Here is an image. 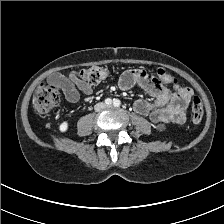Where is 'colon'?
<instances>
[{"label":"colon","mask_w":224,"mask_h":224,"mask_svg":"<svg viewBox=\"0 0 224 224\" xmlns=\"http://www.w3.org/2000/svg\"><path fill=\"white\" fill-rule=\"evenodd\" d=\"M160 79L164 82L174 83L175 79L165 70H159ZM81 78L89 85H96L109 76V70L102 66H89L80 71ZM59 90L55 85L41 84L33 97V107L39 114L48 113L57 106ZM204 109L200 97L193 96L191 99V117L194 124H199L203 118Z\"/></svg>","instance_id":"5ec220e1"}]
</instances>
